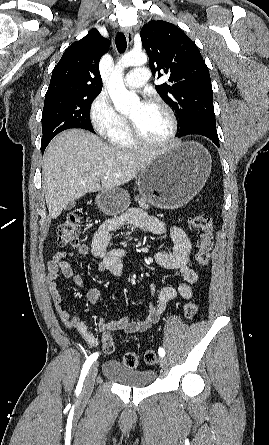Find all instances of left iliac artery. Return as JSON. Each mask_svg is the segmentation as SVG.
I'll return each instance as SVG.
<instances>
[{
    "label": "left iliac artery",
    "instance_id": "1",
    "mask_svg": "<svg viewBox=\"0 0 269 445\" xmlns=\"http://www.w3.org/2000/svg\"><path fill=\"white\" fill-rule=\"evenodd\" d=\"M158 354H159V356L164 357L165 356V350L162 347H160L159 350H158Z\"/></svg>",
    "mask_w": 269,
    "mask_h": 445
}]
</instances>
